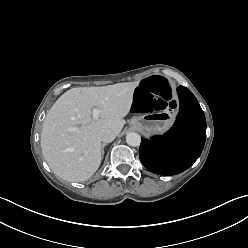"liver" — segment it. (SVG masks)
<instances>
[{
    "label": "liver",
    "mask_w": 248,
    "mask_h": 248,
    "mask_svg": "<svg viewBox=\"0 0 248 248\" xmlns=\"http://www.w3.org/2000/svg\"><path fill=\"white\" fill-rule=\"evenodd\" d=\"M138 84L77 87L57 99L41 132L42 154L57 176L69 182H82L98 170L102 160L99 132L105 128L116 135L121 132ZM94 108L101 110L100 119L92 118ZM70 127L77 131L69 132Z\"/></svg>",
    "instance_id": "1"
}]
</instances>
